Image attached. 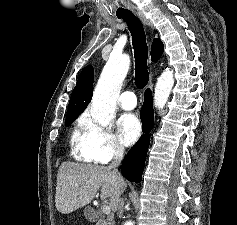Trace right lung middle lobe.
I'll return each instance as SVG.
<instances>
[{"label": "right lung middle lobe", "instance_id": "1", "mask_svg": "<svg viewBox=\"0 0 237 225\" xmlns=\"http://www.w3.org/2000/svg\"><path fill=\"white\" fill-rule=\"evenodd\" d=\"M80 114H81V112L71 114V115H67L66 120H65V124L70 125Z\"/></svg>", "mask_w": 237, "mask_h": 225}]
</instances>
